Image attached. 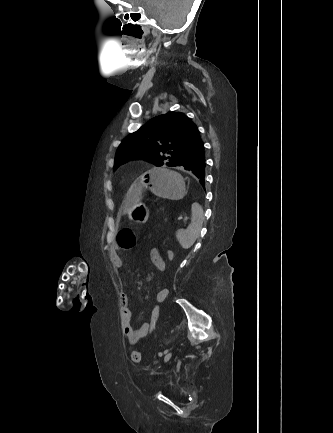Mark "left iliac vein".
I'll return each mask as SVG.
<instances>
[{
	"mask_svg": "<svg viewBox=\"0 0 333 433\" xmlns=\"http://www.w3.org/2000/svg\"><path fill=\"white\" fill-rule=\"evenodd\" d=\"M171 356H172V353H171V352L167 353V354L165 355V357H164V362L169 361V359L171 358Z\"/></svg>",
	"mask_w": 333,
	"mask_h": 433,
	"instance_id": "obj_1",
	"label": "left iliac vein"
}]
</instances>
